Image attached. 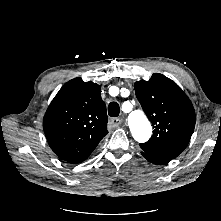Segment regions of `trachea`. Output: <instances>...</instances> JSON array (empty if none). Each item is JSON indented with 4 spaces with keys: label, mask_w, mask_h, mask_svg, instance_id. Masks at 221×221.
Instances as JSON below:
<instances>
[{
    "label": "trachea",
    "mask_w": 221,
    "mask_h": 221,
    "mask_svg": "<svg viewBox=\"0 0 221 221\" xmlns=\"http://www.w3.org/2000/svg\"><path fill=\"white\" fill-rule=\"evenodd\" d=\"M120 113V107L117 102H111L108 106V114L111 117H117Z\"/></svg>",
    "instance_id": "trachea-1"
}]
</instances>
